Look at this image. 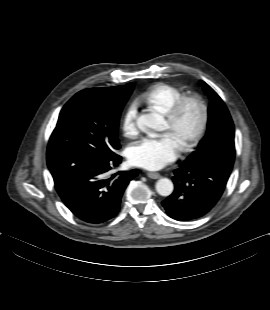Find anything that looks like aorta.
<instances>
[{
  "instance_id": "762f6f07",
  "label": "aorta",
  "mask_w": 270,
  "mask_h": 310,
  "mask_svg": "<svg viewBox=\"0 0 270 310\" xmlns=\"http://www.w3.org/2000/svg\"><path fill=\"white\" fill-rule=\"evenodd\" d=\"M164 122V118L157 113L143 114L138 119L140 125L156 131L163 130ZM173 189V183L168 178H161L156 182V191L161 196L171 195Z\"/></svg>"
}]
</instances>
